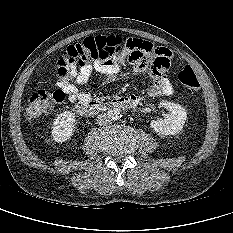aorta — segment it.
<instances>
[{"label": "aorta", "mask_w": 233, "mask_h": 233, "mask_svg": "<svg viewBox=\"0 0 233 233\" xmlns=\"http://www.w3.org/2000/svg\"><path fill=\"white\" fill-rule=\"evenodd\" d=\"M108 117L111 119V121H116L122 118V112L118 108H112L107 113Z\"/></svg>", "instance_id": "762f6f07"}]
</instances>
